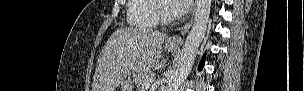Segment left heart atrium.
<instances>
[{
  "label": "left heart atrium",
  "instance_id": "39dd6f15",
  "mask_svg": "<svg viewBox=\"0 0 304 91\" xmlns=\"http://www.w3.org/2000/svg\"><path fill=\"white\" fill-rule=\"evenodd\" d=\"M191 0H173L172 7L174 14L182 15L188 11L191 6Z\"/></svg>",
  "mask_w": 304,
  "mask_h": 91
}]
</instances>
